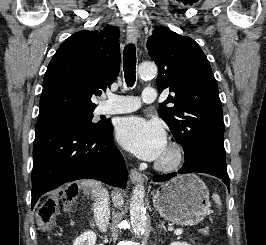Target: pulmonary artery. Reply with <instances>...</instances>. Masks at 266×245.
Here are the masks:
<instances>
[{
	"label": "pulmonary artery",
	"instance_id": "obj_1",
	"mask_svg": "<svg viewBox=\"0 0 266 245\" xmlns=\"http://www.w3.org/2000/svg\"><path fill=\"white\" fill-rule=\"evenodd\" d=\"M146 91L142 92L141 96H120L112 93L107 94L108 100L101 105V113L103 114H119V113H129L136 111L142 101L150 103L152 101H157V91H153V86H146ZM127 99V100H123Z\"/></svg>",
	"mask_w": 266,
	"mask_h": 245
}]
</instances>
